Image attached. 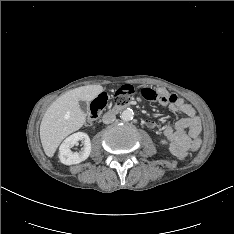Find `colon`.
<instances>
[{"mask_svg":"<svg viewBox=\"0 0 234 234\" xmlns=\"http://www.w3.org/2000/svg\"><path fill=\"white\" fill-rule=\"evenodd\" d=\"M136 93V88L132 85H124L119 88L113 98V104H125L128 103L131 97ZM141 94L148 100H156L158 98L157 91L151 88H143L141 89ZM107 96L106 94L98 95L91 103L90 113L88 117V123H91L95 120L104 107L107 104ZM204 142L200 138H197L194 143H192L190 151H198L201 147H203ZM186 157H189V154H186Z\"/></svg>","mask_w":234,"mask_h":234,"instance_id":"colon-1","label":"colon"}]
</instances>
